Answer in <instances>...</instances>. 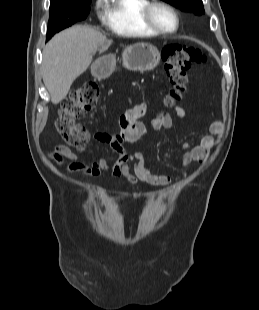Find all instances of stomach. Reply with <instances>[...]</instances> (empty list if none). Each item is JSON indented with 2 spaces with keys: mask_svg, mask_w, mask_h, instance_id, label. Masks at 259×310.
Listing matches in <instances>:
<instances>
[{
  "mask_svg": "<svg viewBox=\"0 0 259 310\" xmlns=\"http://www.w3.org/2000/svg\"><path fill=\"white\" fill-rule=\"evenodd\" d=\"M160 59L159 50L148 43L130 45L122 54L123 66L131 71L153 70L159 64ZM115 62L113 55L103 56L92 65V73L97 78H106L112 73Z\"/></svg>",
  "mask_w": 259,
  "mask_h": 310,
  "instance_id": "1",
  "label": "stomach"
}]
</instances>
